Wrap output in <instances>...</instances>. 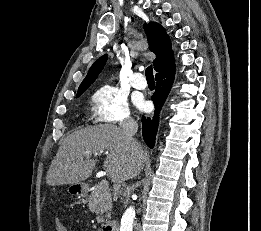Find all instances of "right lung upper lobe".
Listing matches in <instances>:
<instances>
[{"mask_svg":"<svg viewBox=\"0 0 261 231\" xmlns=\"http://www.w3.org/2000/svg\"><path fill=\"white\" fill-rule=\"evenodd\" d=\"M144 28L147 33L149 50L156 55L153 65L157 74L175 66L171 41L169 36L166 34L165 29L157 23H150L145 25ZM106 60L107 55H103L91 66L77 93L84 92L90 84L95 81L103 69Z\"/></svg>","mask_w":261,"mask_h":231,"instance_id":"right-lung-upper-lobe-1","label":"right lung upper lobe"}]
</instances>
